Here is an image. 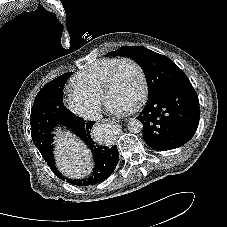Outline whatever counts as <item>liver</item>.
<instances>
[{
  "label": "liver",
  "mask_w": 227,
  "mask_h": 227,
  "mask_svg": "<svg viewBox=\"0 0 227 227\" xmlns=\"http://www.w3.org/2000/svg\"><path fill=\"white\" fill-rule=\"evenodd\" d=\"M68 136H58L55 148L57 166L69 178H83L92 171L90 151Z\"/></svg>",
  "instance_id": "obj_1"
}]
</instances>
